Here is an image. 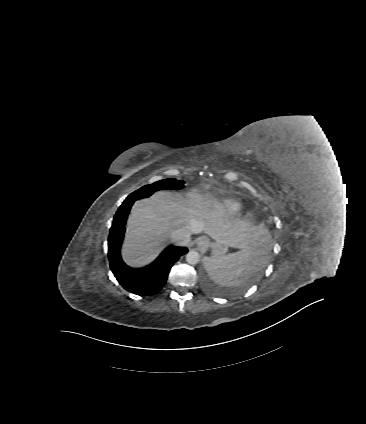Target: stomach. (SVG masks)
Wrapping results in <instances>:
<instances>
[{"label": "stomach", "instance_id": "obj_1", "mask_svg": "<svg viewBox=\"0 0 366 424\" xmlns=\"http://www.w3.org/2000/svg\"><path fill=\"white\" fill-rule=\"evenodd\" d=\"M208 246L212 249L215 256H222L227 252V246L218 242L209 243Z\"/></svg>", "mask_w": 366, "mask_h": 424}]
</instances>
